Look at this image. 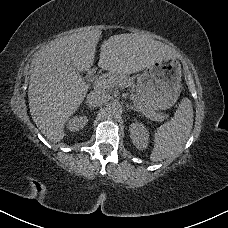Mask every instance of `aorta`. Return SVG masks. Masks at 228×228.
Masks as SVG:
<instances>
[{"mask_svg": "<svg viewBox=\"0 0 228 228\" xmlns=\"http://www.w3.org/2000/svg\"><path fill=\"white\" fill-rule=\"evenodd\" d=\"M108 114L111 115V116H115L119 113H121L122 111V108H121V105L118 104V103H112L108 106Z\"/></svg>", "mask_w": 228, "mask_h": 228, "instance_id": "aorta-1", "label": "aorta"}]
</instances>
